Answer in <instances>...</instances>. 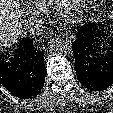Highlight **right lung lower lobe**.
<instances>
[{
	"instance_id": "98d812e1",
	"label": "right lung lower lobe",
	"mask_w": 113,
	"mask_h": 113,
	"mask_svg": "<svg viewBox=\"0 0 113 113\" xmlns=\"http://www.w3.org/2000/svg\"><path fill=\"white\" fill-rule=\"evenodd\" d=\"M44 55L33 42L23 38L12 55L0 54V84L21 99L37 96L44 86Z\"/></svg>"
}]
</instances>
